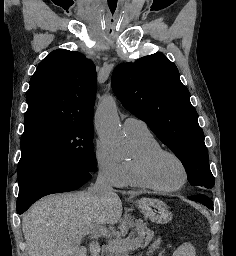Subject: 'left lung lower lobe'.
<instances>
[{"mask_svg": "<svg viewBox=\"0 0 236 256\" xmlns=\"http://www.w3.org/2000/svg\"><path fill=\"white\" fill-rule=\"evenodd\" d=\"M189 199L193 200V201H197L200 202L202 204H204L205 206H207L209 209L213 210V202L211 201V199L205 195H196V196H191L189 197Z\"/></svg>", "mask_w": 236, "mask_h": 256, "instance_id": "1", "label": "left lung lower lobe"}]
</instances>
